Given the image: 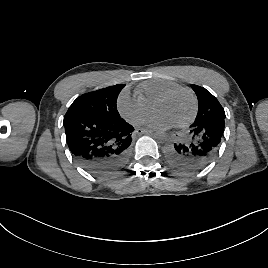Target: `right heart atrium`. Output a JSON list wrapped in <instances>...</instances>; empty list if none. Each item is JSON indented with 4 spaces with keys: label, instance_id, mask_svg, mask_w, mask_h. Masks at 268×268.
<instances>
[{
    "label": "right heart atrium",
    "instance_id": "1",
    "mask_svg": "<svg viewBox=\"0 0 268 268\" xmlns=\"http://www.w3.org/2000/svg\"><path fill=\"white\" fill-rule=\"evenodd\" d=\"M119 113L129 122L140 123L151 115V107L142 99L124 90L117 99Z\"/></svg>",
    "mask_w": 268,
    "mask_h": 268
}]
</instances>
